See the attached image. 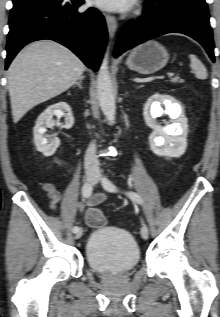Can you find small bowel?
<instances>
[{
  "label": "small bowel",
  "instance_id": "obj_1",
  "mask_svg": "<svg viewBox=\"0 0 220 317\" xmlns=\"http://www.w3.org/2000/svg\"><path fill=\"white\" fill-rule=\"evenodd\" d=\"M43 189L45 190V192L47 193V196L49 198V207L52 210H55L57 207V203L61 199L60 192L56 189L54 184L49 183V182L43 183ZM105 198H106L105 193H97V194H94L93 196H91L85 204L78 203L77 207L80 211H84L86 208L89 209V208L94 207L95 205L101 203L102 201L105 200Z\"/></svg>",
  "mask_w": 220,
  "mask_h": 317
}]
</instances>
